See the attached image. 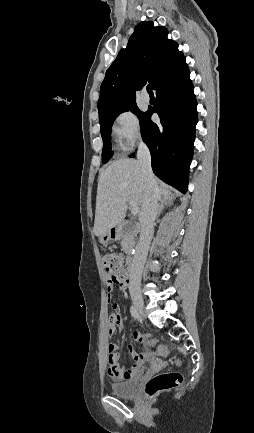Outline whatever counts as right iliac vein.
Masks as SVG:
<instances>
[{"mask_svg": "<svg viewBox=\"0 0 254 433\" xmlns=\"http://www.w3.org/2000/svg\"><path fill=\"white\" fill-rule=\"evenodd\" d=\"M132 301L134 303L135 308L140 314H143L144 311V301L142 296L139 293H132Z\"/></svg>", "mask_w": 254, "mask_h": 433, "instance_id": "obj_1", "label": "right iliac vein"}]
</instances>
